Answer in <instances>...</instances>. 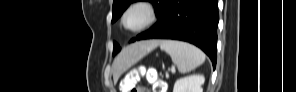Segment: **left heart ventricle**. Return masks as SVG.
Here are the masks:
<instances>
[{
    "mask_svg": "<svg viewBox=\"0 0 296 92\" xmlns=\"http://www.w3.org/2000/svg\"><path fill=\"white\" fill-rule=\"evenodd\" d=\"M145 20H146L145 11L142 9H134L128 14L126 23L128 27L135 28L143 24Z\"/></svg>",
    "mask_w": 296,
    "mask_h": 92,
    "instance_id": "b2bd125f",
    "label": "left heart ventricle"
}]
</instances>
